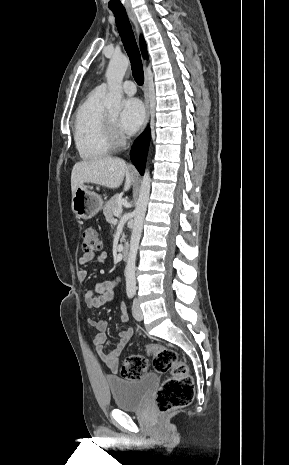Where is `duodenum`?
Segmentation results:
<instances>
[{
    "label": "duodenum",
    "mask_w": 289,
    "mask_h": 465,
    "mask_svg": "<svg viewBox=\"0 0 289 465\" xmlns=\"http://www.w3.org/2000/svg\"><path fill=\"white\" fill-rule=\"evenodd\" d=\"M121 257L123 260H127L129 257V246L124 245L121 249Z\"/></svg>",
    "instance_id": "1"
}]
</instances>
